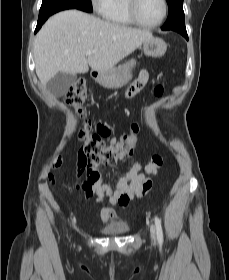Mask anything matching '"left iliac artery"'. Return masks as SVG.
I'll return each instance as SVG.
<instances>
[{
	"label": "left iliac artery",
	"mask_w": 229,
	"mask_h": 280,
	"mask_svg": "<svg viewBox=\"0 0 229 280\" xmlns=\"http://www.w3.org/2000/svg\"><path fill=\"white\" fill-rule=\"evenodd\" d=\"M155 226H156V234H157V240L159 244H162L163 242V231H162V225L160 219L155 216Z\"/></svg>",
	"instance_id": "left-iliac-artery-1"
}]
</instances>
